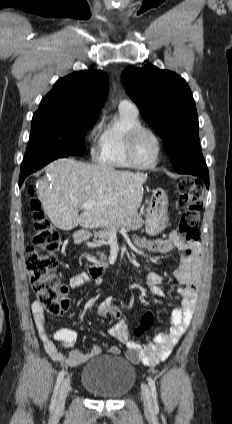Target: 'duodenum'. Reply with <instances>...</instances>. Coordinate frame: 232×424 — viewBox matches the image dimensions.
Instances as JSON below:
<instances>
[{
    "instance_id": "obj_1",
    "label": "duodenum",
    "mask_w": 232,
    "mask_h": 424,
    "mask_svg": "<svg viewBox=\"0 0 232 424\" xmlns=\"http://www.w3.org/2000/svg\"><path fill=\"white\" fill-rule=\"evenodd\" d=\"M90 237H91V234H89L88 232L78 231L75 235V240L77 243H82L88 240ZM87 268L92 275H102L109 268V265L108 264H89Z\"/></svg>"
}]
</instances>
